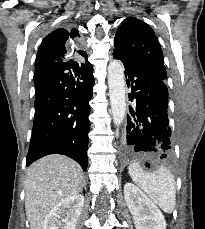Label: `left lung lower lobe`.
Masks as SVG:
<instances>
[{
  "label": "left lung lower lobe",
  "instance_id": "1",
  "mask_svg": "<svg viewBox=\"0 0 205 229\" xmlns=\"http://www.w3.org/2000/svg\"><path fill=\"white\" fill-rule=\"evenodd\" d=\"M113 56L124 64L126 83L132 90L129 100H134L127 114L125 156L138 151H152L160 159L170 158L172 137L167 116L168 90L165 80L129 63L118 53L114 52Z\"/></svg>",
  "mask_w": 205,
  "mask_h": 229
}]
</instances>
